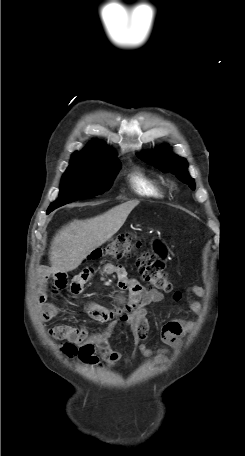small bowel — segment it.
Masks as SVG:
<instances>
[{"label": "small bowel", "mask_w": 245, "mask_h": 456, "mask_svg": "<svg viewBox=\"0 0 245 456\" xmlns=\"http://www.w3.org/2000/svg\"><path fill=\"white\" fill-rule=\"evenodd\" d=\"M100 271L106 275H115L118 278L119 288L128 292V298H120L119 304L115 308H107L94 302L86 305V310L91 318L106 323L104 328L96 332L91 333L85 327L59 325L50 330L51 336L57 340H67L78 346V356L86 363L97 364L99 362L97 353H99L109 364H115L121 358V354L110 348L109 339L118 326H125L133 335L136 352H140L144 356L155 355L159 359H164L168 354L167 349H150L144 344L149 332L146 307L150 303L162 301L163 293L141 286L135 278L128 275L120 264L106 263L100 268ZM95 273V268L87 267L69 281L64 272L56 271L52 274L53 290L58 291L69 285L71 291L78 294ZM46 283V278L40 281L36 295L39 316L43 322L54 318L62 311L56 304L48 301L50 290ZM187 295L188 307L192 312L200 315L202 303L193 300L192 296L204 300L206 295L204 288L199 285L190 286L187 289ZM191 327L192 324L185 319H170L161 326V340L168 346L176 348Z\"/></svg>", "instance_id": "1"}]
</instances>
